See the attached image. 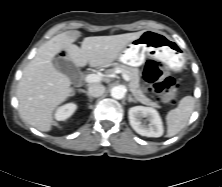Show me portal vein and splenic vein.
<instances>
[{
    "label": "portal vein and splenic vein",
    "instance_id": "obj_1",
    "mask_svg": "<svg viewBox=\"0 0 222 187\" xmlns=\"http://www.w3.org/2000/svg\"><path fill=\"white\" fill-rule=\"evenodd\" d=\"M122 77L125 81H130V78L127 74L123 73ZM102 80V76L98 75V74H89L85 77V81L87 83H96V82H100Z\"/></svg>",
    "mask_w": 222,
    "mask_h": 187
}]
</instances>
